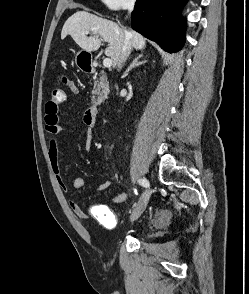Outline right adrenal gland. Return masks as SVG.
<instances>
[{
	"label": "right adrenal gland",
	"mask_w": 249,
	"mask_h": 294,
	"mask_svg": "<svg viewBox=\"0 0 249 294\" xmlns=\"http://www.w3.org/2000/svg\"><path fill=\"white\" fill-rule=\"evenodd\" d=\"M143 57V54H138L132 61V63L130 64L129 68L126 70L125 74L127 75L129 73V71H131L133 68L146 63L147 61H139L141 58Z\"/></svg>",
	"instance_id": "1"
}]
</instances>
